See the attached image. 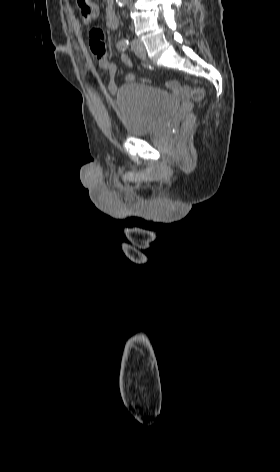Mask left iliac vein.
Returning <instances> with one entry per match:
<instances>
[{
    "label": "left iliac vein",
    "mask_w": 280,
    "mask_h": 472,
    "mask_svg": "<svg viewBox=\"0 0 280 472\" xmlns=\"http://www.w3.org/2000/svg\"><path fill=\"white\" fill-rule=\"evenodd\" d=\"M131 47L134 53L141 59H146V49L144 44L139 39H133L131 41Z\"/></svg>",
    "instance_id": "1"
}]
</instances>
